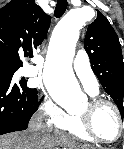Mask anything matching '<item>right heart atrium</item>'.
I'll use <instances>...</instances> for the list:
<instances>
[{
    "label": "right heart atrium",
    "instance_id": "1",
    "mask_svg": "<svg viewBox=\"0 0 124 149\" xmlns=\"http://www.w3.org/2000/svg\"><path fill=\"white\" fill-rule=\"evenodd\" d=\"M39 111L48 118L49 125H54L58 128L64 127L70 118L54 101L48 99L42 102Z\"/></svg>",
    "mask_w": 124,
    "mask_h": 149
}]
</instances>
